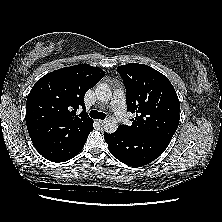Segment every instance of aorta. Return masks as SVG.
Returning a JSON list of instances; mask_svg holds the SVG:
<instances>
[{
    "mask_svg": "<svg viewBox=\"0 0 222 222\" xmlns=\"http://www.w3.org/2000/svg\"><path fill=\"white\" fill-rule=\"evenodd\" d=\"M97 100L107 103L112 96V91L107 84H99L95 89ZM118 128V122L115 117H108L104 122V130L106 133H114Z\"/></svg>",
    "mask_w": 222,
    "mask_h": 222,
    "instance_id": "1",
    "label": "aorta"
}]
</instances>
